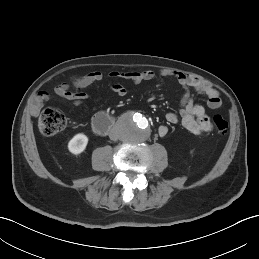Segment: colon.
I'll return each instance as SVG.
<instances>
[{
	"label": "colon",
	"mask_w": 259,
	"mask_h": 259,
	"mask_svg": "<svg viewBox=\"0 0 259 259\" xmlns=\"http://www.w3.org/2000/svg\"><path fill=\"white\" fill-rule=\"evenodd\" d=\"M81 80L76 81L75 85L80 86ZM213 124L218 133H225L228 129V123L221 115L214 116ZM65 126L66 118L64 114L56 109H45L39 118V130L44 136H52Z\"/></svg>",
	"instance_id": "obj_1"
}]
</instances>
